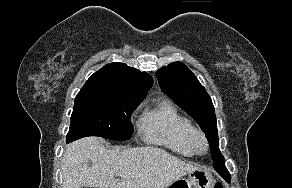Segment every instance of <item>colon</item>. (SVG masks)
I'll return each instance as SVG.
<instances>
[{
  "label": "colon",
  "instance_id": "colon-1",
  "mask_svg": "<svg viewBox=\"0 0 292 188\" xmlns=\"http://www.w3.org/2000/svg\"><path fill=\"white\" fill-rule=\"evenodd\" d=\"M214 188H224V185L221 181H218L216 184H215V187Z\"/></svg>",
  "mask_w": 292,
  "mask_h": 188
}]
</instances>
